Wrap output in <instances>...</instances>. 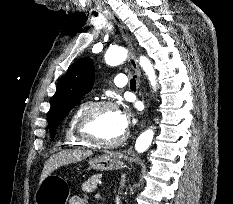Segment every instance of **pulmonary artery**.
Wrapping results in <instances>:
<instances>
[{
    "label": "pulmonary artery",
    "mask_w": 233,
    "mask_h": 204,
    "mask_svg": "<svg viewBox=\"0 0 233 204\" xmlns=\"http://www.w3.org/2000/svg\"><path fill=\"white\" fill-rule=\"evenodd\" d=\"M114 83L117 87H125L127 85V77L124 74H118L114 78Z\"/></svg>",
    "instance_id": "1"
}]
</instances>
